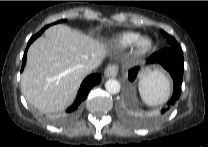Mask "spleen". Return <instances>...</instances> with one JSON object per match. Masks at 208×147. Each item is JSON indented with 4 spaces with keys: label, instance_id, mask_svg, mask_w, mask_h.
Masks as SVG:
<instances>
[{
    "label": "spleen",
    "instance_id": "spleen-1",
    "mask_svg": "<svg viewBox=\"0 0 208 147\" xmlns=\"http://www.w3.org/2000/svg\"><path fill=\"white\" fill-rule=\"evenodd\" d=\"M138 89L144 103L162 105L171 95V81L165 73L154 72L139 81Z\"/></svg>",
    "mask_w": 208,
    "mask_h": 147
}]
</instances>
